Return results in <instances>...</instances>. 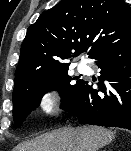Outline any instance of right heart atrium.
<instances>
[{"instance_id":"right-heart-atrium-1","label":"right heart atrium","mask_w":131,"mask_h":151,"mask_svg":"<svg viewBox=\"0 0 131 151\" xmlns=\"http://www.w3.org/2000/svg\"><path fill=\"white\" fill-rule=\"evenodd\" d=\"M39 106L40 109L46 114L53 112L58 106L57 95L49 90L43 92L42 95L40 96Z\"/></svg>"}]
</instances>
